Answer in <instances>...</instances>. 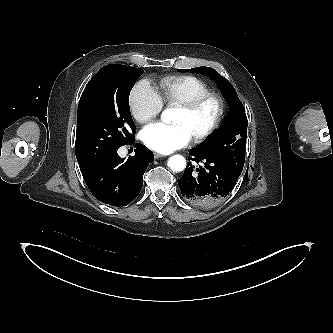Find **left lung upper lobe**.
Segmentation results:
<instances>
[{"instance_id":"obj_1","label":"left lung upper lobe","mask_w":333,"mask_h":333,"mask_svg":"<svg viewBox=\"0 0 333 333\" xmlns=\"http://www.w3.org/2000/svg\"><path fill=\"white\" fill-rule=\"evenodd\" d=\"M204 74L211 77L218 84L219 89L230 103V112L221 130L197 148L209 157L224 162L235 171L241 173L245 161V142L247 136V117L245 109L231 83L210 67H197L193 69H179Z\"/></svg>"}]
</instances>
